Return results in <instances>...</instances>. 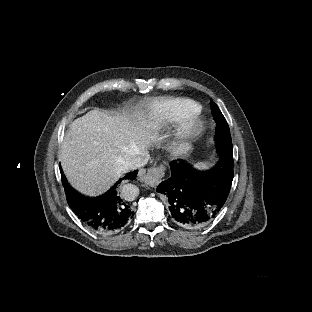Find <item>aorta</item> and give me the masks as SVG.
Segmentation results:
<instances>
[{"label": "aorta", "instance_id": "762f6f07", "mask_svg": "<svg viewBox=\"0 0 312 312\" xmlns=\"http://www.w3.org/2000/svg\"><path fill=\"white\" fill-rule=\"evenodd\" d=\"M129 187V193H130V197L133 199H135V197L137 196L138 194V188L136 186H133V185H125L124 186V189L126 190V188Z\"/></svg>", "mask_w": 312, "mask_h": 312}]
</instances>
